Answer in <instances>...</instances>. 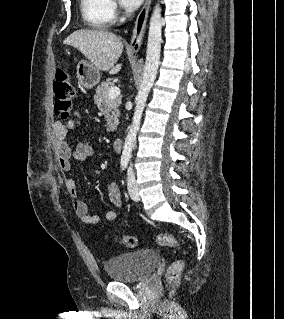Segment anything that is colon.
I'll return each instance as SVG.
<instances>
[{"instance_id":"obj_1","label":"colon","mask_w":284,"mask_h":319,"mask_svg":"<svg viewBox=\"0 0 284 319\" xmlns=\"http://www.w3.org/2000/svg\"><path fill=\"white\" fill-rule=\"evenodd\" d=\"M54 88V107L56 114L61 119H67L72 111L75 101V89L70 81L68 74L63 70H57ZM118 240L129 248H134L138 244V240L133 236H121ZM155 242L159 246H166L173 249L179 247V242L174 236L168 233H160L155 236ZM183 261H174L167 269L166 278L169 284L175 283L183 269Z\"/></svg>"}]
</instances>
